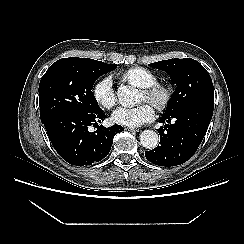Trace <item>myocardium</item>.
Returning <instances> with one entry per match:
<instances>
[{"label": "myocardium", "instance_id": "myocardium-1", "mask_svg": "<svg viewBox=\"0 0 244 244\" xmlns=\"http://www.w3.org/2000/svg\"><path fill=\"white\" fill-rule=\"evenodd\" d=\"M142 93L145 96V100L158 110H163L171 98V90L164 83H154L149 87L143 88Z\"/></svg>", "mask_w": 244, "mask_h": 244}]
</instances>
